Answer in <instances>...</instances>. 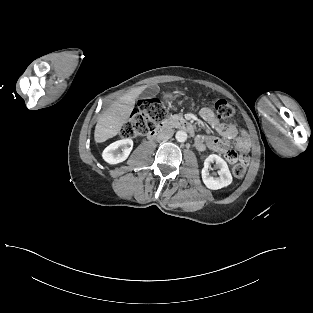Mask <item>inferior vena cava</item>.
Returning <instances> with one entry per match:
<instances>
[{"label":"inferior vena cava","instance_id":"1","mask_svg":"<svg viewBox=\"0 0 313 313\" xmlns=\"http://www.w3.org/2000/svg\"><path fill=\"white\" fill-rule=\"evenodd\" d=\"M172 135H173L172 129H165L157 136V140L158 141H165V140L170 139L172 137Z\"/></svg>","mask_w":313,"mask_h":313}]
</instances>
